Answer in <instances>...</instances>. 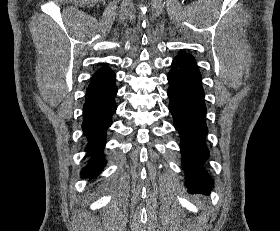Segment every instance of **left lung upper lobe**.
Returning a JSON list of instances; mask_svg holds the SVG:
<instances>
[{"mask_svg": "<svg viewBox=\"0 0 280 231\" xmlns=\"http://www.w3.org/2000/svg\"><path fill=\"white\" fill-rule=\"evenodd\" d=\"M172 68H178L181 70H198V66L196 65L195 59L190 54H178L173 63Z\"/></svg>", "mask_w": 280, "mask_h": 231, "instance_id": "left-lung-upper-lobe-1", "label": "left lung upper lobe"}]
</instances>
